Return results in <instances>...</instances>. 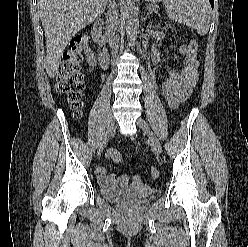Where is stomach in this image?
I'll return each instance as SVG.
<instances>
[{"label": "stomach", "instance_id": "1", "mask_svg": "<svg viewBox=\"0 0 248 247\" xmlns=\"http://www.w3.org/2000/svg\"><path fill=\"white\" fill-rule=\"evenodd\" d=\"M147 2H150V3H155L157 2L158 0H146Z\"/></svg>", "mask_w": 248, "mask_h": 247}]
</instances>
